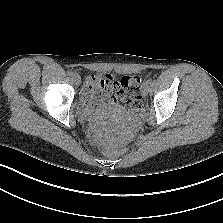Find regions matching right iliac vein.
Instances as JSON below:
<instances>
[{
	"mask_svg": "<svg viewBox=\"0 0 223 223\" xmlns=\"http://www.w3.org/2000/svg\"><path fill=\"white\" fill-rule=\"evenodd\" d=\"M73 80H74L76 85H80L81 84V77L79 76V74L75 73L73 75Z\"/></svg>",
	"mask_w": 223,
	"mask_h": 223,
	"instance_id": "obj_1",
	"label": "right iliac vein"
}]
</instances>
